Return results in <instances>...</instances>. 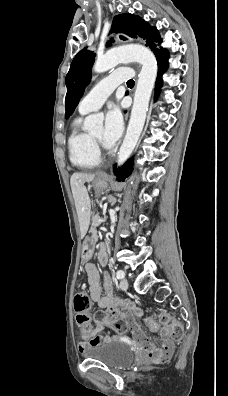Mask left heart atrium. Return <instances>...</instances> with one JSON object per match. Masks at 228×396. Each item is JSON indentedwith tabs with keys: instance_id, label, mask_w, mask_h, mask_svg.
Returning <instances> with one entry per match:
<instances>
[{
	"instance_id": "39dd6f15",
	"label": "left heart atrium",
	"mask_w": 228,
	"mask_h": 396,
	"mask_svg": "<svg viewBox=\"0 0 228 396\" xmlns=\"http://www.w3.org/2000/svg\"><path fill=\"white\" fill-rule=\"evenodd\" d=\"M123 132V117L117 106L111 107L105 117L103 130V142L106 146L112 147L120 139Z\"/></svg>"
}]
</instances>
